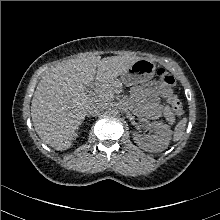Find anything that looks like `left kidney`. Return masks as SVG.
Segmentation results:
<instances>
[{
    "label": "left kidney",
    "instance_id": "5707ae66",
    "mask_svg": "<svg viewBox=\"0 0 220 220\" xmlns=\"http://www.w3.org/2000/svg\"><path fill=\"white\" fill-rule=\"evenodd\" d=\"M153 128L156 134L153 136H144L141 134H134L135 142L144 150L151 152H160L167 148L171 139V130L167 124L161 122H153Z\"/></svg>",
    "mask_w": 220,
    "mask_h": 220
}]
</instances>
